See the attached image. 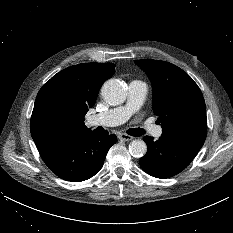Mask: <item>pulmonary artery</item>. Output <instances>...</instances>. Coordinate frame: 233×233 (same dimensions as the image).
<instances>
[{"label": "pulmonary artery", "instance_id": "e3ab8cb5", "mask_svg": "<svg viewBox=\"0 0 233 233\" xmlns=\"http://www.w3.org/2000/svg\"><path fill=\"white\" fill-rule=\"evenodd\" d=\"M147 85L140 80L129 83L128 97L125 105L96 114L89 119L91 125L112 127L126 122L143 104L147 95ZM147 129L154 137H160L163 133L161 127L148 125Z\"/></svg>", "mask_w": 233, "mask_h": 233}]
</instances>
